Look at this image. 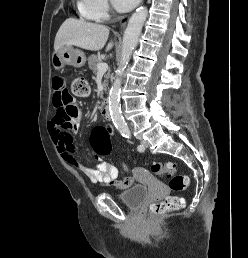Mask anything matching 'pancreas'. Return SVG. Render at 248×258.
<instances>
[{
    "instance_id": "obj_1",
    "label": "pancreas",
    "mask_w": 248,
    "mask_h": 258,
    "mask_svg": "<svg viewBox=\"0 0 248 258\" xmlns=\"http://www.w3.org/2000/svg\"><path fill=\"white\" fill-rule=\"evenodd\" d=\"M101 63V59L99 57H97L96 55H91L88 58V65L89 68L93 71L94 74H96L98 72L97 69V64ZM105 79H109V73L105 74ZM107 88V84L104 83V89Z\"/></svg>"
}]
</instances>
